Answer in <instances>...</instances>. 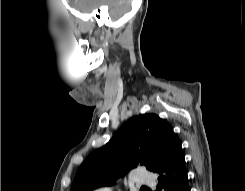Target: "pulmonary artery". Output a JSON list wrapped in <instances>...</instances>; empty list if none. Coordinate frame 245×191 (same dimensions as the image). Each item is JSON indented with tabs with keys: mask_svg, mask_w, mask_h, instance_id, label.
Returning <instances> with one entry per match:
<instances>
[{
	"mask_svg": "<svg viewBox=\"0 0 245 191\" xmlns=\"http://www.w3.org/2000/svg\"><path fill=\"white\" fill-rule=\"evenodd\" d=\"M132 181L139 186H153L155 177L152 173L146 172L141 168L136 169L132 174ZM95 191H112L109 187L96 189Z\"/></svg>",
	"mask_w": 245,
	"mask_h": 191,
	"instance_id": "pulmonary-artery-1",
	"label": "pulmonary artery"
}]
</instances>
